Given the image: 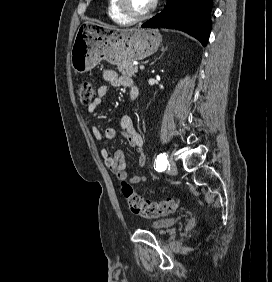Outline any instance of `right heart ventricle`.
Here are the masks:
<instances>
[{
	"instance_id": "obj_1",
	"label": "right heart ventricle",
	"mask_w": 272,
	"mask_h": 282,
	"mask_svg": "<svg viewBox=\"0 0 272 282\" xmlns=\"http://www.w3.org/2000/svg\"><path fill=\"white\" fill-rule=\"evenodd\" d=\"M117 0H109L108 12L111 19L119 24L129 25L131 20L126 18L117 8Z\"/></svg>"
}]
</instances>
